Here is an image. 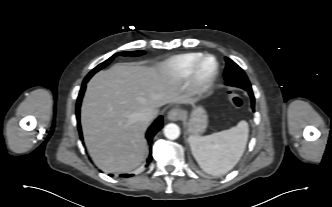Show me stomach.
Wrapping results in <instances>:
<instances>
[{
	"instance_id": "obj_1",
	"label": "stomach",
	"mask_w": 332,
	"mask_h": 207,
	"mask_svg": "<svg viewBox=\"0 0 332 207\" xmlns=\"http://www.w3.org/2000/svg\"><path fill=\"white\" fill-rule=\"evenodd\" d=\"M208 117L203 107H195L189 118L185 117L187 132L192 135H200L207 127Z\"/></svg>"
}]
</instances>
